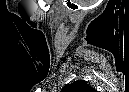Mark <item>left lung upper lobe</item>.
Listing matches in <instances>:
<instances>
[{"label":"left lung upper lobe","mask_w":129,"mask_h":92,"mask_svg":"<svg viewBox=\"0 0 129 92\" xmlns=\"http://www.w3.org/2000/svg\"><path fill=\"white\" fill-rule=\"evenodd\" d=\"M62 92H95V89L89 86L86 81H75L67 84Z\"/></svg>","instance_id":"obj_1"}]
</instances>
